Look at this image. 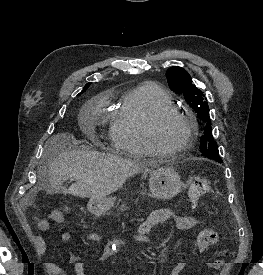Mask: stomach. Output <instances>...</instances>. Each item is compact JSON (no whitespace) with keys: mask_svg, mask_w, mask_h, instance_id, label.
Returning a JSON list of instances; mask_svg holds the SVG:
<instances>
[{"mask_svg":"<svg viewBox=\"0 0 263 275\" xmlns=\"http://www.w3.org/2000/svg\"><path fill=\"white\" fill-rule=\"evenodd\" d=\"M149 189L156 198H173L182 190L181 177L174 168L158 167L149 177ZM114 202V197L91 198L88 210L96 216H101L114 206Z\"/></svg>","mask_w":263,"mask_h":275,"instance_id":"1","label":"stomach"}]
</instances>
